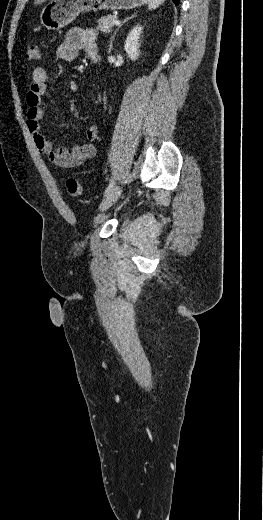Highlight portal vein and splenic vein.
<instances>
[{"mask_svg":"<svg viewBox=\"0 0 263 520\" xmlns=\"http://www.w3.org/2000/svg\"><path fill=\"white\" fill-rule=\"evenodd\" d=\"M114 25H119L121 22L119 20L113 21Z\"/></svg>","mask_w":263,"mask_h":520,"instance_id":"obj_1","label":"portal vein and splenic vein"}]
</instances>
